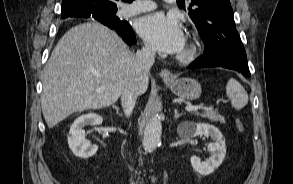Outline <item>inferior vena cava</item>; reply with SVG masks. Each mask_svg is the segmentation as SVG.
<instances>
[{"instance_id": "602c4592", "label": "inferior vena cava", "mask_w": 293, "mask_h": 184, "mask_svg": "<svg viewBox=\"0 0 293 184\" xmlns=\"http://www.w3.org/2000/svg\"><path fill=\"white\" fill-rule=\"evenodd\" d=\"M154 61L155 51L153 47L145 45L137 51L134 56V68L138 82H141L148 75ZM139 94L138 84L135 82L127 85L122 91L121 104L127 117L131 115Z\"/></svg>"}]
</instances>
